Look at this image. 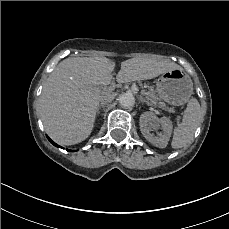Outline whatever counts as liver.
I'll use <instances>...</instances> for the list:
<instances>
[{
  "label": "liver",
  "mask_w": 229,
  "mask_h": 229,
  "mask_svg": "<svg viewBox=\"0 0 229 229\" xmlns=\"http://www.w3.org/2000/svg\"><path fill=\"white\" fill-rule=\"evenodd\" d=\"M115 62L106 57H76L61 61L44 84L35 103L46 133L59 145H73L91 133L101 100L116 94L107 88ZM178 64L152 58H132L121 63L118 83L152 79Z\"/></svg>",
  "instance_id": "6515ba94"
}]
</instances>
